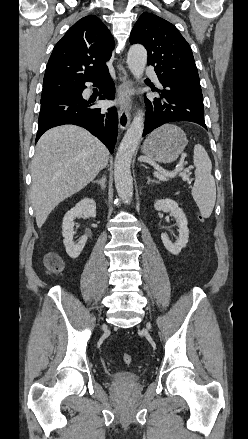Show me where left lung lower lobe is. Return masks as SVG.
<instances>
[{
	"label": "left lung lower lobe",
	"instance_id": "1",
	"mask_svg": "<svg viewBox=\"0 0 248 439\" xmlns=\"http://www.w3.org/2000/svg\"><path fill=\"white\" fill-rule=\"evenodd\" d=\"M162 89H152L160 95L153 100H145L147 106L143 136L155 128L169 122L189 121L207 129L204 121L202 92L160 81Z\"/></svg>",
	"mask_w": 248,
	"mask_h": 439
}]
</instances>
